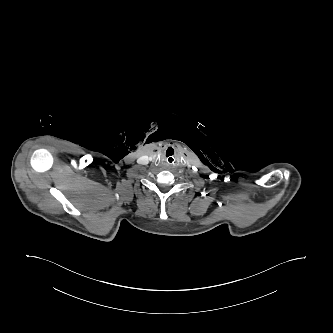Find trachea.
Wrapping results in <instances>:
<instances>
[{
    "label": "trachea",
    "mask_w": 333,
    "mask_h": 333,
    "mask_svg": "<svg viewBox=\"0 0 333 333\" xmlns=\"http://www.w3.org/2000/svg\"><path fill=\"white\" fill-rule=\"evenodd\" d=\"M164 160L169 164V165H174L178 161V155L174 151H168L164 155Z\"/></svg>",
    "instance_id": "3493384b"
}]
</instances>
